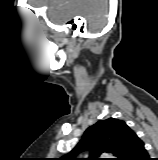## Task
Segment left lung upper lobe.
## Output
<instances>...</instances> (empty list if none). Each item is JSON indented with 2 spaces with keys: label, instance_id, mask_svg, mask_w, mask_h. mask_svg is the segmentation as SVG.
Wrapping results in <instances>:
<instances>
[{
  "label": "left lung upper lobe",
  "instance_id": "obj_1",
  "mask_svg": "<svg viewBox=\"0 0 158 160\" xmlns=\"http://www.w3.org/2000/svg\"><path fill=\"white\" fill-rule=\"evenodd\" d=\"M135 132L122 120L108 118L90 126L84 132L80 142L67 155L58 160H105L99 158L107 153L123 160ZM87 151L89 158H74L81 152Z\"/></svg>",
  "mask_w": 158,
  "mask_h": 160
}]
</instances>
